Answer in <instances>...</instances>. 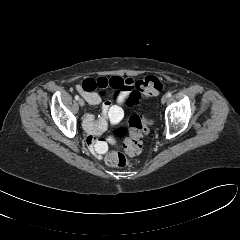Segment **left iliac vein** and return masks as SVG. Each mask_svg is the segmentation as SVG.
I'll use <instances>...</instances> for the list:
<instances>
[{"instance_id": "4c4485c4", "label": "left iliac vein", "mask_w": 240, "mask_h": 240, "mask_svg": "<svg viewBox=\"0 0 240 240\" xmlns=\"http://www.w3.org/2000/svg\"><path fill=\"white\" fill-rule=\"evenodd\" d=\"M168 97L167 95H163L161 98V103L164 104L167 101Z\"/></svg>"}]
</instances>
